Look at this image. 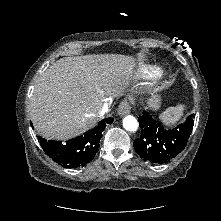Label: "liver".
I'll use <instances>...</instances> for the list:
<instances>
[{
  "instance_id": "6515ba94",
  "label": "liver",
  "mask_w": 221,
  "mask_h": 221,
  "mask_svg": "<svg viewBox=\"0 0 221 221\" xmlns=\"http://www.w3.org/2000/svg\"><path fill=\"white\" fill-rule=\"evenodd\" d=\"M135 60L118 54L66 57L53 63L34 87L29 110L38 134L67 140L93 127L96 110L123 92Z\"/></svg>"
}]
</instances>
